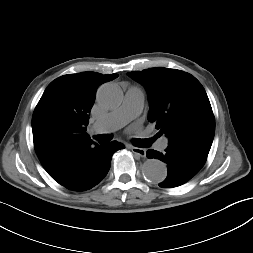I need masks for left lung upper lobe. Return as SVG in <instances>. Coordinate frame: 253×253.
<instances>
[{
	"instance_id": "obj_1",
	"label": "left lung upper lobe",
	"mask_w": 253,
	"mask_h": 253,
	"mask_svg": "<svg viewBox=\"0 0 253 253\" xmlns=\"http://www.w3.org/2000/svg\"><path fill=\"white\" fill-rule=\"evenodd\" d=\"M148 92L149 122L168 145L208 155L215 133V118L201 83L191 74L163 67L127 73Z\"/></svg>"
}]
</instances>
